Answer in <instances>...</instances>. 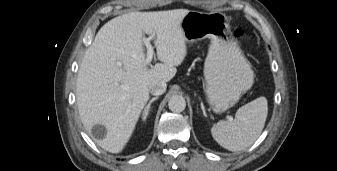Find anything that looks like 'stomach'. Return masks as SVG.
<instances>
[{
    "mask_svg": "<svg viewBox=\"0 0 337 171\" xmlns=\"http://www.w3.org/2000/svg\"><path fill=\"white\" fill-rule=\"evenodd\" d=\"M187 43L210 39L204 64L205 93L215 113L234 106L253 85L254 73L230 36L228 17L220 12L189 11L181 22Z\"/></svg>",
    "mask_w": 337,
    "mask_h": 171,
    "instance_id": "stomach-1",
    "label": "stomach"
}]
</instances>
